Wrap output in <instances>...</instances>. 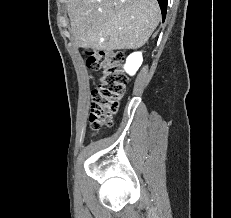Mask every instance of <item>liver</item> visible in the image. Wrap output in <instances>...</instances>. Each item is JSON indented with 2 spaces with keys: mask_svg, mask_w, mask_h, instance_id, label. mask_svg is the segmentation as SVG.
Returning <instances> with one entry per match:
<instances>
[{
  "mask_svg": "<svg viewBox=\"0 0 231 218\" xmlns=\"http://www.w3.org/2000/svg\"><path fill=\"white\" fill-rule=\"evenodd\" d=\"M67 10L75 45L104 51L141 47L161 18L157 0H68Z\"/></svg>",
  "mask_w": 231,
  "mask_h": 218,
  "instance_id": "6515ba94",
  "label": "liver"
}]
</instances>
